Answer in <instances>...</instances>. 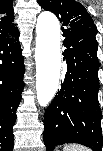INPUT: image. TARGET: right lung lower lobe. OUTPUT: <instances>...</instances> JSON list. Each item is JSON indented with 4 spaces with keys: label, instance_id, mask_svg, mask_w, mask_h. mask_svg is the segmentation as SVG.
Returning <instances> with one entry per match:
<instances>
[{
    "label": "right lung lower lobe",
    "instance_id": "obj_1",
    "mask_svg": "<svg viewBox=\"0 0 103 151\" xmlns=\"http://www.w3.org/2000/svg\"><path fill=\"white\" fill-rule=\"evenodd\" d=\"M19 31L0 36V148L12 151L16 110L24 88V58L21 53Z\"/></svg>",
    "mask_w": 103,
    "mask_h": 151
}]
</instances>
